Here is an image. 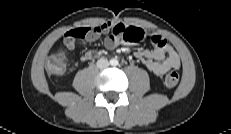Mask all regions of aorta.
Returning a JSON list of instances; mask_svg holds the SVG:
<instances>
[{"label": "aorta", "mask_w": 231, "mask_h": 134, "mask_svg": "<svg viewBox=\"0 0 231 134\" xmlns=\"http://www.w3.org/2000/svg\"><path fill=\"white\" fill-rule=\"evenodd\" d=\"M111 64H112V65H117L118 62H117V60H112V61H111Z\"/></svg>", "instance_id": "1"}]
</instances>
